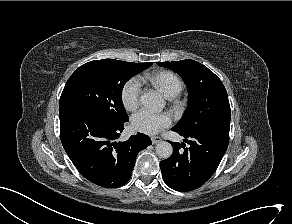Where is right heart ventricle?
Returning <instances> with one entry per match:
<instances>
[{"label":"right heart ventricle","instance_id":"e07e8e85","mask_svg":"<svg viewBox=\"0 0 292 224\" xmlns=\"http://www.w3.org/2000/svg\"><path fill=\"white\" fill-rule=\"evenodd\" d=\"M147 79L168 98L177 96L183 89L181 79L170 71L151 74Z\"/></svg>","mask_w":292,"mask_h":224}]
</instances>
